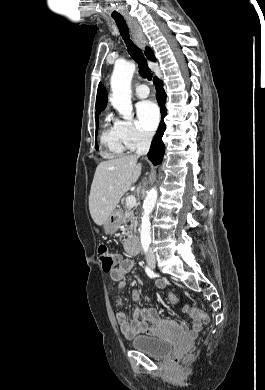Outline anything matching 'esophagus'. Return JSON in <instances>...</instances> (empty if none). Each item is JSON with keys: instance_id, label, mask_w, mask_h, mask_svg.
Segmentation results:
<instances>
[{"instance_id": "34e87169", "label": "esophagus", "mask_w": 265, "mask_h": 390, "mask_svg": "<svg viewBox=\"0 0 265 390\" xmlns=\"http://www.w3.org/2000/svg\"><path fill=\"white\" fill-rule=\"evenodd\" d=\"M127 20V23L131 29V33H132V38L135 42V44L141 49V50H144L145 48V44H146V39H145V36L143 35L142 31H141V28L140 26L138 25V23L127 17L126 18Z\"/></svg>"}]
</instances>
